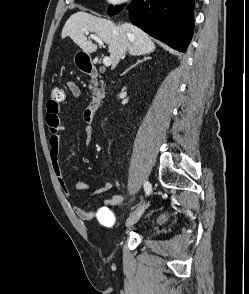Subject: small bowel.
Instances as JSON below:
<instances>
[{"label":"small bowel","mask_w":249,"mask_h":294,"mask_svg":"<svg viewBox=\"0 0 249 294\" xmlns=\"http://www.w3.org/2000/svg\"><path fill=\"white\" fill-rule=\"evenodd\" d=\"M66 86L72 97L78 98L80 96V88L74 81H67ZM84 128L83 133L86 140V144H90L93 136L92 119L87 116L86 109L83 113ZM46 123L50 132L48 140L49 158L53 172L55 174L57 183L62 192L71 196V187L69 186L61 168L60 156H61V143L64 137L65 126L61 121V108L59 105L53 106L49 102L47 103ZM74 188L81 192H91L92 195H101L108 192L112 188L111 182H104L96 188H92L83 180H76ZM125 201L123 194H114L93 205L90 208H82L78 205H73V212L77 218L81 221H91L96 219L100 225L110 228L116 223V216L111 211L112 207L121 206Z\"/></svg>","instance_id":"small-bowel-1"}]
</instances>
